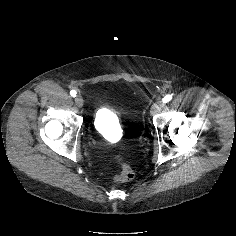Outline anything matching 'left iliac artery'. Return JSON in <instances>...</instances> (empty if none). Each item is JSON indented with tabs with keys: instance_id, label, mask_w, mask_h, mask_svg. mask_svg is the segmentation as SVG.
I'll return each mask as SVG.
<instances>
[{
	"instance_id": "left-iliac-artery-1",
	"label": "left iliac artery",
	"mask_w": 236,
	"mask_h": 236,
	"mask_svg": "<svg viewBox=\"0 0 236 236\" xmlns=\"http://www.w3.org/2000/svg\"><path fill=\"white\" fill-rule=\"evenodd\" d=\"M171 99H172V96H171V95H166V96L163 98V102H164V103H167V102H169Z\"/></svg>"
}]
</instances>
